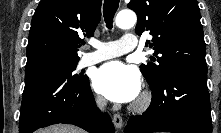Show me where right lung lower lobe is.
I'll use <instances>...</instances> for the list:
<instances>
[{
  "instance_id": "obj_1",
  "label": "right lung lower lobe",
  "mask_w": 221,
  "mask_h": 133,
  "mask_svg": "<svg viewBox=\"0 0 221 133\" xmlns=\"http://www.w3.org/2000/svg\"><path fill=\"white\" fill-rule=\"evenodd\" d=\"M69 123L90 133H114L110 116L96 105L87 77L72 82L55 70L25 73L19 133Z\"/></svg>"
}]
</instances>
